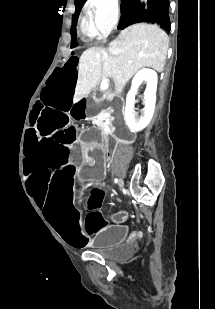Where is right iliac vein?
I'll return each instance as SVG.
<instances>
[{
  "label": "right iliac vein",
  "instance_id": "1",
  "mask_svg": "<svg viewBox=\"0 0 215 309\" xmlns=\"http://www.w3.org/2000/svg\"><path fill=\"white\" fill-rule=\"evenodd\" d=\"M119 186H120V188H123V182H122V180L119 182Z\"/></svg>",
  "mask_w": 215,
  "mask_h": 309
}]
</instances>
